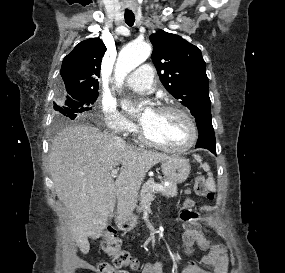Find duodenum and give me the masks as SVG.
<instances>
[{
	"label": "duodenum",
	"mask_w": 285,
	"mask_h": 273,
	"mask_svg": "<svg viewBox=\"0 0 285 273\" xmlns=\"http://www.w3.org/2000/svg\"><path fill=\"white\" fill-rule=\"evenodd\" d=\"M116 221H117V223L120 224L121 226L127 225V222L124 221V220H122V219L117 218Z\"/></svg>",
	"instance_id": "1"
}]
</instances>
